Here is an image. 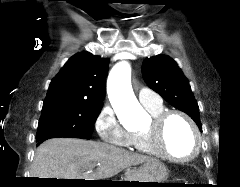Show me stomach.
Segmentation results:
<instances>
[{
  "instance_id": "obj_1",
  "label": "stomach",
  "mask_w": 240,
  "mask_h": 187,
  "mask_svg": "<svg viewBox=\"0 0 240 187\" xmlns=\"http://www.w3.org/2000/svg\"><path fill=\"white\" fill-rule=\"evenodd\" d=\"M168 176V170L166 166L157 161L152 160L145 162L138 170L128 171L126 173L125 181L130 182H156V183H140L146 184L143 186H158V183H163V181Z\"/></svg>"
}]
</instances>
